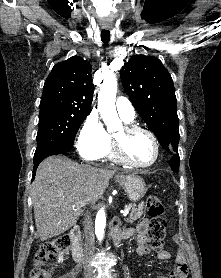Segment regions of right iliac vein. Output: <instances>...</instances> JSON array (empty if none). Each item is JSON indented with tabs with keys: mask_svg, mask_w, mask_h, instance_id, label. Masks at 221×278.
Masks as SVG:
<instances>
[{
	"mask_svg": "<svg viewBox=\"0 0 221 278\" xmlns=\"http://www.w3.org/2000/svg\"><path fill=\"white\" fill-rule=\"evenodd\" d=\"M85 278H94V277H93V275H91V274H87V275L85 276Z\"/></svg>",
	"mask_w": 221,
	"mask_h": 278,
	"instance_id": "right-iliac-vein-1",
	"label": "right iliac vein"
}]
</instances>
